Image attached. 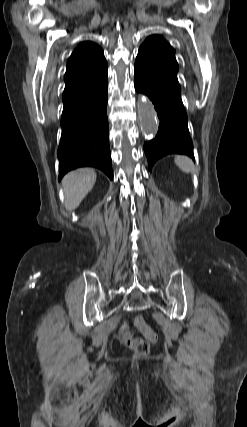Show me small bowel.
I'll use <instances>...</instances> for the list:
<instances>
[{
  "label": "small bowel",
  "instance_id": "c3829d8e",
  "mask_svg": "<svg viewBox=\"0 0 247 427\" xmlns=\"http://www.w3.org/2000/svg\"><path fill=\"white\" fill-rule=\"evenodd\" d=\"M118 337H119L121 340H126V339H128V338H129V326H128V324H127V323H124V324L121 326V328H120V330H119V332H118Z\"/></svg>",
  "mask_w": 247,
  "mask_h": 427
}]
</instances>
